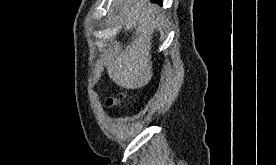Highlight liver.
Masks as SVG:
<instances>
[{
    "label": "liver",
    "instance_id": "obj_1",
    "mask_svg": "<svg viewBox=\"0 0 276 165\" xmlns=\"http://www.w3.org/2000/svg\"><path fill=\"white\" fill-rule=\"evenodd\" d=\"M159 17V7L148 0L124 1L122 25L125 31L136 32L124 52L108 51L105 57L108 74L117 85L137 89L151 80V40Z\"/></svg>",
    "mask_w": 276,
    "mask_h": 165
}]
</instances>
